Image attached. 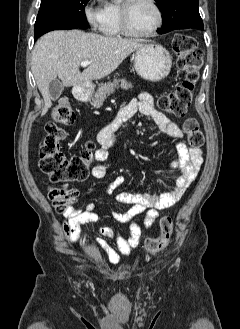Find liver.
I'll return each mask as SVG.
<instances>
[{
	"label": "liver",
	"instance_id": "liver-1",
	"mask_svg": "<svg viewBox=\"0 0 240 329\" xmlns=\"http://www.w3.org/2000/svg\"><path fill=\"white\" fill-rule=\"evenodd\" d=\"M140 39L107 37L80 30H56L43 35L32 53V72L44 98L45 115L52 102L49 83L57 77L63 86L85 85L112 73L133 51ZM83 61L92 62L82 73Z\"/></svg>",
	"mask_w": 240,
	"mask_h": 329
}]
</instances>
